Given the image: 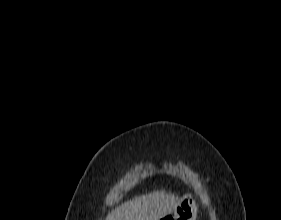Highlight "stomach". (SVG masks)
<instances>
[{"label": "stomach", "mask_w": 281, "mask_h": 220, "mask_svg": "<svg viewBox=\"0 0 281 220\" xmlns=\"http://www.w3.org/2000/svg\"><path fill=\"white\" fill-rule=\"evenodd\" d=\"M196 204L190 195H185L175 207L172 214L166 215L162 220H196Z\"/></svg>", "instance_id": "obj_1"}]
</instances>
